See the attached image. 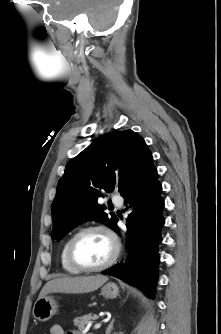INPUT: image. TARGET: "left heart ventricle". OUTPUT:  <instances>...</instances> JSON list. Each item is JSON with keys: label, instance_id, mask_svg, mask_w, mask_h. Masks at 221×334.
<instances>
[{"label": "left heart ventricle", "instance_id": "1", "mask_svg": "<svg viewBox=\"0 0 221 334\" xmlns=\"http://www.w3.org/2000/svg\"><path fill=\"white\" fill-rule=\"evenodd\" d=\"M113 244L103 231H89L81 235L74 245V257L84 266H98L111 256Z\"/></svg>", "mask_w": 221, "mask_h": 334}]
</instances>
